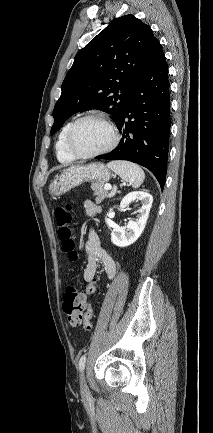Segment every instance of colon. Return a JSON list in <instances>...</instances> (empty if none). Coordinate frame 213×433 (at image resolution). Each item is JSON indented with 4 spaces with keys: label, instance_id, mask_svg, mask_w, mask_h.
I'll list each match as a JSON object with an SVG mask.
<instances>
[{
    "label": "colon",
    "instance_id": "obj_1",
    "mask_svg": "<svg viewBox=\"0 0 213 433\" xmlns=\"http://www.w3.org/2000/svg\"><path fill=\"white\" fill-rule=\"evenodd\" d=\"M55 218L58 224V236L61 240L64 251L71 261L78 260L74 230L71 227V205L65 204L55 210ZM63 311L68 322L72 326H83L85 330L91 329L90 320L87 317V299L83 291L71 284L68 285L63 294Z\"/></svg>",
    "mask_w": 213,
    "mask_h": 433
}]
</instances>
